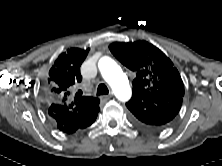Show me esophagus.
<instances>
[{"label":"esophagus","mask_w":222,"mask_h":166,"mask_svg":"<svg viewBox=\"0 0 222 166\" xmlns=\"http://www.w3.org/2000/svg\"><path fill=\"white\" fill-rule=\"evenodd\" d=\"M111 97H112V94H111V95H104V96H102L101 98H102L103 100H109Z\"/></svg>","instance_id":"esophagus-1"}]
</instances>
